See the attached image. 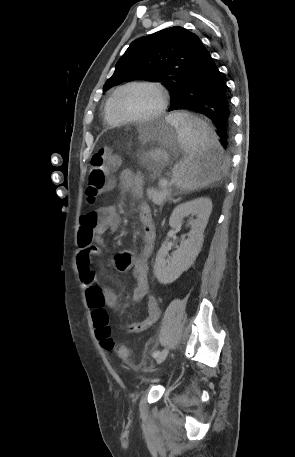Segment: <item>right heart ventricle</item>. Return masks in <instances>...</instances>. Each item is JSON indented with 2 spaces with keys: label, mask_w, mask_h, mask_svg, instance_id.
<instances>
[{
  "label": "right heart ventricle",
  "mask_w": 295,
  "mask_h": 457,
  "mask_svg": "<svg viewBox=\"0 0 295 457\" xmlns=\"http://www.w3.org/2000/svg\"><path fill=\"white\" fill-rule=\"evenodd\" d=\"M110 101H111V97H109L107 99V101H106V103L104 105L103 114H104V118H105L107 123H109L111 125H115V124L119 123V121L116 118H114V116L111 113Z\"/></svg>",
  "instance_id": "obj_1"
}]
</instances>
